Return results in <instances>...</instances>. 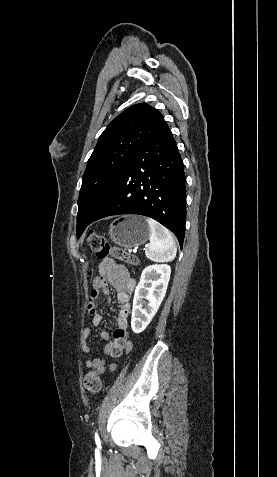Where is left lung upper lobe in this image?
Returning <instances> with one entry per match:
<instances>
[{
    "label": "left lung upper lobe",
    "instance_id": "left-lung-upper-lobe-1",
    "mask_svg": "<svg viewBox=\"0 0 277 477\" xmlns=\"http://www.w3.org/2000/svg\"><path fill=\"white\" fill-rule=\"evenodd\" d=\"M166 126L162 114L145 103L129 107L107 126L82 178L77 234L100 208L123 167Z\"/></svg>",
    "mask_w": 277,
    "mask_h": 477
}]
</instances>
